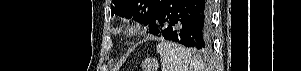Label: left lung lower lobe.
<instances>
[{"instance_id": "0a47b994", "label": "left lung lower lobe", "mask_w": 301, "mask_h": 71, "mask_svg": "<svg viewBox=\"0 0 301 71\" xmlns=\"http://www.w3.org/2000/svg\"><path fill=\"white\" fill-rule=\"evenodd\" d=\"M147 24L150 33L166 40L198 50L210 47L209 0H162Z\"/></svg>"}]
</instances>
